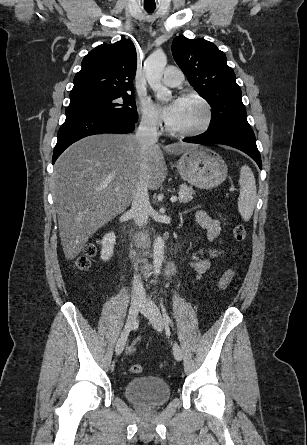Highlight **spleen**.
Returning <instances> with one entry per match:
<instances>
[{
	"instance_id": "3e777b00",
	"label": "spleen",
	"mask_w": 307,
	"mask_h": 445,
	"mask_svg": "<svg viewBox=\"0 0 307 445\" xmlns=\"http://www.w3.org/2000/svg\"><path fill=\"white\" fill-rule=\"evenodd\" d=\"M239 184L238 210L243 220H249L253 214L257 196L255 176L247 164L240 168Z\"/></svg>"
}]
</instances>
